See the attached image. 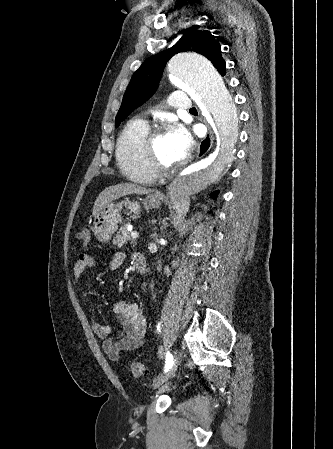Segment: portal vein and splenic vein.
<instances>
[{
	"label": "portal vein and splenic vein",
	"instance_id": "portal-vein-and-splenic-vein-1",
	"mask_svg": "<svg viewBox=\"0 0 333 449\" xmlns=\"http://www.w3.org/2000/svg\"><path fill=\"white\" fill-rule=\"evenodd\" d=\"M130 235H131V238H133V239H136L139 237V234L136 231H132Z\"/></svg>",
	"mask_w": 333,
	"mask_h": 449
}]
</instances>
